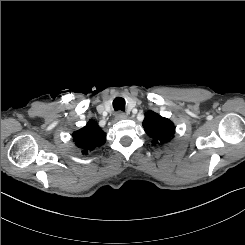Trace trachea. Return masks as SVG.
<instances>
[{
	"label": "trachea",
	"mask_w": 245,
	"mask_h": 245,
	"mask_svg": "<svg viewBox=\"0 0 245 245\" xmlns=\"http://www.w3.org/2000/svg\"><path fill=\"white\" fill-rule=\"evenodd\" d=\"M113 108L114 110L118 111H124L125 110V99L122 97H117L113 101Z\"/></svg>",
	"instance_id": "1"
}]
</instances>
